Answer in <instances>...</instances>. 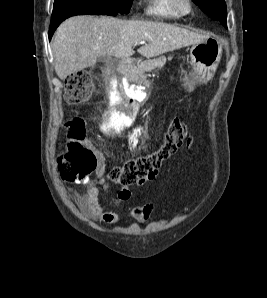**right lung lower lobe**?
<instances>
[{"label":"right lung lower lobe","instance_id":"98d812e1","mask_svg":"<svg viewBox=\"0 0 267 298\" xmlns=\"http://www.w3.org/2000/svg\"><path fill=\"white\" fill-rule=\"evenodd\" d=\"M61 22H55V23H51L50 24V29H49V39H51L54 31L56 30V28L58 27V25L60 24Z\"/></svg>","mask_w":267,"mask_h":298}]
</instances>
